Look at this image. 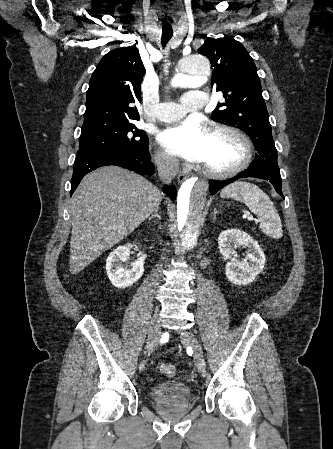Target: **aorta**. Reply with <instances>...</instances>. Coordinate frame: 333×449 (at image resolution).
<instances>
[{
    "label": "aorta",
    "instance_id": "obj_1",
    "mask_svg": "<svg viewBox=\"0 0 333 449\" xmlns=\"http://www.w3.org/2000/svg\"><path fill=\"white\" fill-rule=\"evenodd\" d=\"M180 64V70L173 79V85L175 86L201 87L211 74L209 60L199 53L183 57ZM208 187V181L190 177L182 183L178 191V234L182 246L188 250L192 249L197 243Z\"/></svg>",
    "mask_w": 333,
    "mask_h": 449
}]
</instances>
